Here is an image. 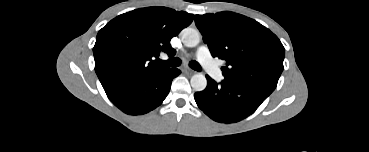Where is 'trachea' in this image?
<instances>
[{"mask_svg":"<svg viewBox=\"0 0 369 152\" xmlns=\"http://www.w3.org/2000/svg\"><path fill=\"white\" fill-rule=\"evenodd\" d=\"M159 62H160L162 65H164V66H168V67H178V66H180V64H181V59H179V58H173V59H169V60H167V61L160 60ZM189 66H190L192 69L196 70V71H201V70H202V68H201L200 64H199L197 61H195V60L190 61V62H189Z\"/></svg>","mask_w":369,"mask_h":152,"instance_id":"3493384b","label":"trachea"}]
</instances>
